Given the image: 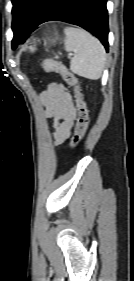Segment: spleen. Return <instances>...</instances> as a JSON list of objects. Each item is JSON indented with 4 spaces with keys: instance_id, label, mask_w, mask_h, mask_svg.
I'll return each mask as SVG.
<instances>
[{
    "instance_id": "obj_1",
    "label": "spleen",
    "mask_w": 134,
    "mask_h": 281,
    "mask_svg": "<svg viewBox=\"0 0 134 281\" xmlns=\"http://www.w3.org/2000/svg\"><path fill=\"white\" fill-rule=\"evenodd\" d=\"M64 33L65 50L74 52L70 61V70L87 79H99L106 62L105 49L100 41L79 28L67 27Z\"/></svg>"
}]
</instances>
